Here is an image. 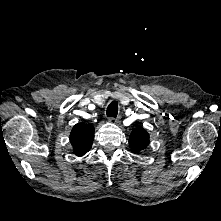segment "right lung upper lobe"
<instances>
[{
  "label": "right lung upper lobe",
  "instance_id": "obj_1",
  "mask_svg": "<svg viewBox=\"0 0 221 221\" xmlns=\"http://www.w3.org/2000/svg\"><path fill=\"white\" fill-rule=\"evenodd\" d=\"M69 139L74 154L81 157L92 147L94 127L91 124L78 123L73 127Z\"/></svg>",
  "mask_w": 221,
  "mask_h": 221
}]
</instances>
